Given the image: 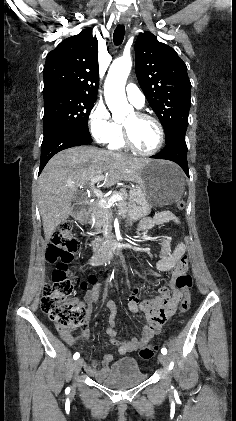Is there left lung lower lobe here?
Instances as JSON below:
<instances>
[{"label": "left lung lower lobe", "mask_w": 236, "mask_h": 421, "mask_svg": "<svg viewBox=\"0 0 236 421\" xmlns=\"http://www.w3.org/2000/svg\"><path fill=\"white\" fill-rule=\"evenodd\" d=\"M186 132H177L166 139L165 148L151 158L165 159L177 163L189 177L187 163V145L185 142Z\"/></svg>", "instance_id": "0a47b994"}]
</instances>
